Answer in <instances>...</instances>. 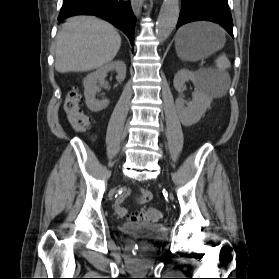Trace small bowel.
Here are the masks:
<instances>
[{
    "mask_svg": "<svg viewBox=\"0 0 279 279\" xmlns=\"http://www.w3.org/2000/svg\"><path fill=\"white\" fill-rule=\"evenodd\" d=\"M128 192L121 194L115 201V212L118 216H124L126 214V209L121 205ZM150 199V192L144 189L139 190L136 201L138 203H144Z\"/></svg>",
    "mask_w": 279,
    "mask_h": 279,
    "instance_id": "small-bowel-1",
    "label": "small bowel"
}]
</instances>
